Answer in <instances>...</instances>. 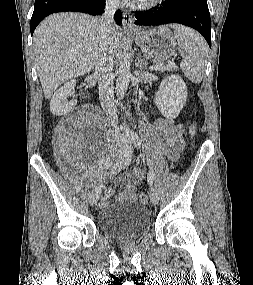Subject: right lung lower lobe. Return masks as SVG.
I'll return each instance as SVG.
<instances>
[{"label":"right lung lower lobe","instance_id":"right-lung-lower-lobe-1","mask_svg":"<svg viewBox=\"0 0 253 285\" xmlns=\"http://www.w3.org/2000/svg\"><path fill=\"white\" fill-rule=\"evenodd\" d=\"M104 0H35V6L30 23L31 35L36 26L49 14L63 11H76L91 15H101L105 5ZM115 21L122 23V14L119 10L114 15Z\"/></svg>","mask_w":253,"mask_h":285}]
</instances>
